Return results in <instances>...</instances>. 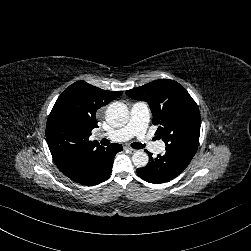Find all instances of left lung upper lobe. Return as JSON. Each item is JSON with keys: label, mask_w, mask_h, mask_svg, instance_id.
Masks as SVG:
<instances>
[{"label": "left lung upper lobe", "mask_w": 251, "mask_h": 251, "mask_svg": "<svg viewBox=\"0 0 251 251\" xmlns=\"http://www.w3.org/2000/svg\"><path fill=\"white\" fill-rule=\"evenodd\" d=\"M132 99L146 101L158 125L157 138L166 149H177L195 155L200 136L201 118L197 104L179 83L169 79L155 80L127 90Z\"/></svg>", "instance_id": "5c2ea615"}]
</instances>
